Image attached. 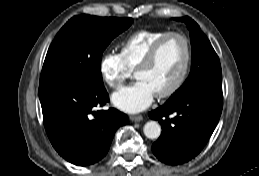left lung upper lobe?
Instances as JSON below:
<instances>
[{"mask_svg": "<svg viewBox=\"0 0 259 176\" xmlns=\"http://www.w3.org/2000/svg\"><path fill=\"white\" fill-rule=\"evenodd\" d=\"M175 19L185 22L190 29L192 65L187 80L167 103L178 101L197 92L222 94L220 61L208 38L190 17Z\"/></svg>", "mask_w": 259, "mask_h": 176, "instance_id": "5c2ea615", "label": "left lung upper lobe"}]
</instances>
